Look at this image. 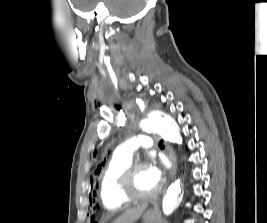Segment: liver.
Returning <instances> with one entry per match:
<instances>
[{
	"instance_id": "liver-1",
	"label": "liver",
	"mask_w": 267,
	"mask_h": 223,
	"mask_svg": "<svg viewBox=\"0 0 267 223\" xmlns=\"http://www.w3.org/2000/svg\"><path fill=\"white\" fill-rule=\"evenodd\" d=\"M146 208L147 204L129 209L125 211L120 217H118L113 223H133L141 217Z\"/></svg>"
}]
</instances>
